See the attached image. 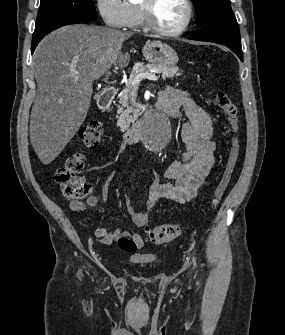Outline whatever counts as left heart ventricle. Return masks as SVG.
Instances as JSON below:
<instances>
[{
    "instance_id": "obj_1",
    "label": "left heart ventricle",
    "mask_w": 285,
    "mask_h": 335,
    "mask_svg": "<svg viewBox=\"0 0 285 335\" xmlns=\"http://www.w3.org/2000/svg\"><path fill=\"white\" fill-rule=\"evenodd\" d=\"M187 10L179 1H155L154 20L167 30L179 28L185 21Z\"/></svg>"
}]
</instances>
